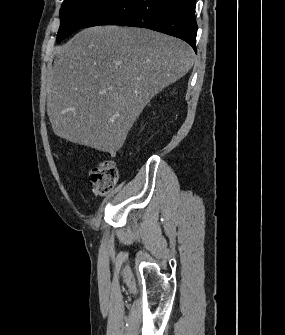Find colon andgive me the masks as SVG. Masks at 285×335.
Masks as SVG:
<instances>
[{"label":"colon","instance_id":"1","mask_svg":"<svg viewBox=\"0 0 285 335\" xmlns=\"http://www.w3.org/2000/svg\"><path fill=\"white\" fill-rule=\"evenodd\" d=\"M120 177L119 169L111 159L105 160L90 171V179L97 195L104 196L116 185Z\"/></svg>","mask_w":285,"mask_h":335}]
</instances>
